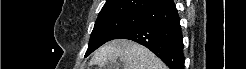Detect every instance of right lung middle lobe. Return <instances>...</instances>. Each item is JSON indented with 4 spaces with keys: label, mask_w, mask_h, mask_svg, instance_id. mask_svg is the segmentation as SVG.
<instances>
[{
    "label": "right lung middle lobe",
    "mask_w": 246,
    "mask_h": 69,
    "mask_svg": "<svg viewBox=\"0 0 246 69\" xmlns=\"http://www.w3.org/2000/svg\"><path fill=\"white\" fill-rule=\"evenodd\" d=\"M141 20L142 15L132 14L96 20L85 57L104 43L116 39L120 34L137 25Z\"/></svg>",
    "instance_id": "dd1d6c3e"
}]
</instances>
